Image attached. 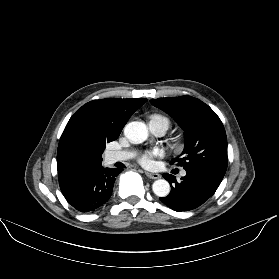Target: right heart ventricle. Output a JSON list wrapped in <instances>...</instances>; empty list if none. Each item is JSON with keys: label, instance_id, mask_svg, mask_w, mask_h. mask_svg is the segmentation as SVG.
<instances>
[{"label": "right heart ventricle", "instance_id": "right-heart-ventricle-1", "mask_svg": "<svg viewBox=\"0 0 279 279\" xmlns=\"http://www.w3.org/2000/svg\"><path fill=\"white\" fill-rule=\"evenodd\" d=\"M150 122H160L166 125V127L168 128L170 121L166 116H163L161 114H152L150 116Z\"/></svg>", "mask_w": 279, "mask_h": 279}]
</instances>
